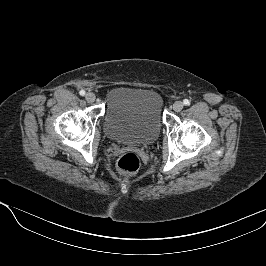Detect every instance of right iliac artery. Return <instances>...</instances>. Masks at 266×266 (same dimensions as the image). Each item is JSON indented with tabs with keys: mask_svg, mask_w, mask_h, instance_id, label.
Listing matches in <instances>:
<instances>
[{
	"mask_svg": "<svg viewBox=\"0 0 266 266\" xmlns=\"http://www.w3.org/2000/svg\"><path fill=\"white\" fill-rule=\"evenodd\" d=\"M79 94H80L81 96H84V95H85V91H84V90H81V91L79 92Z\"/></svg>",
	"mask_w": 266,
	"mask_h": 266,
	"instance_id": "1",
	"label": "right iliac artery"
}]
</instances>
